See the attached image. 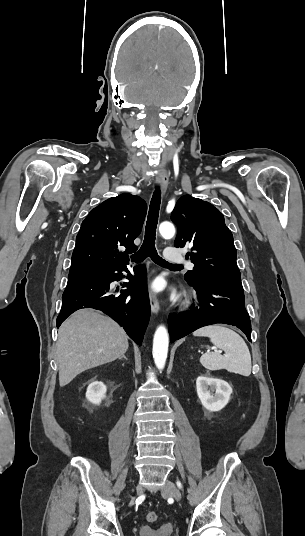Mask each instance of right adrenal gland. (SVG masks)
Instances as JSON below:
<instances>
[{"label": "right adrenal gland", "mask_w": 305, "mask_h": 536, "mask_svg": "<svg viewBox=\"0 0 305 536\" xmlns=\"http://www.w3.org/2000/svg\"><path fill=\"white\" fill-rule=\"evenodd\" d=\"M122 358H124V360H128V358H126V356H121V358H119V360H122Z\"/></svg>", "instance_id": "right-adrenal-gland-1"}]
</instances>
